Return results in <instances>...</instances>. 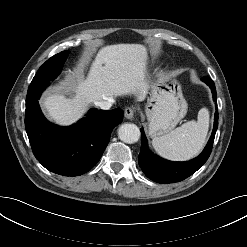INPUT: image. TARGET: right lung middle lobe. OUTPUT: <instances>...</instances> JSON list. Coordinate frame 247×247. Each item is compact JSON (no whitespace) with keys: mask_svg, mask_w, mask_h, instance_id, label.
I'll list each match as a JSON object with an SVG mask.
<instances>
[{"mask_svg":"<svg viewBox=\"0 0 247 247\" xmlns=\"http://www.w3.org/2000/svg\"><path fill=\"white\" fill-rule=\"evenodd\" d=\"M67 55V51H62L48 59L39 68L30 85L39 87L47 84L50 80L55 79L59 75Z\"/></svg>","mask_w":247,"mask_h":247,"instance_id":"right-lung-middle-lobe-1","label":"right lung middle lobe"}]
</instances>
